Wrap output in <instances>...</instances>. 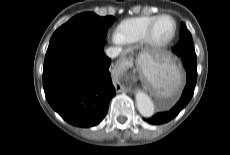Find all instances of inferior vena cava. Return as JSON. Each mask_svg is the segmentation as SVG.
I'll list each match as a JSON object with an SVG mask.
<instances>
[{
  "mask_svg": "<svg viewBox=\"0 0 230 155\" xmlns=\"http://www.w3.org/2000/svg\"><path fill=\"white\" fill-rule=\"evenodd\" d=\"M121 52V48L119 47H109L106 49V55L109 58H115L117 57Z\"/></svg>",
  "mask_w": 230,
  "mask_h": 155,
  "instance_id": "inferior-vena-cava-1",
  "label": "inferior vena cava"
}]
</instances>
